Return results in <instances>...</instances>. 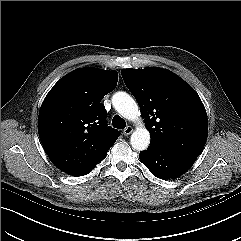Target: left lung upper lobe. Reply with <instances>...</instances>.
Segmentation results:
<instances>
[{"label": "left lung upper lobe", "mask_w": 241, "mask_h": 241, "mask_svg": "<svg viewBox=\"0 0 241 241\" xmlns=\"http://www.w3.org/2000/svg\"><path fill=\"white\" fill-rule=\"evenodd\" d=\"M121 74L140 106L150 145L197 158L208 134L206 110L197 93L165 69H123Z\"/></svg>", "instance_id": "obj_1"}]
</instances>
